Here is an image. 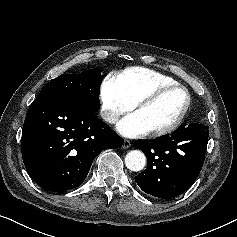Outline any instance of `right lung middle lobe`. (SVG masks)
<instances>
[{
  "label": "right lung middle lobe",
  "instance_id": "dd1d6c3e",
  "mask_svg": "<svg viewBox=\"0 0 237 237\" xmlns=\"http://www.w3.org/2000/svg\"><path fill=\"white\" fill-rule=\"evenodd\" d=\"M102 78L101 69H90L79 74H63L44 85L39 95L66 98L82 108L97 112L100 109L99 92Z\"/></svg>",
  "mask_w": 237,
  "mask_h": 237
}]
</instances>
